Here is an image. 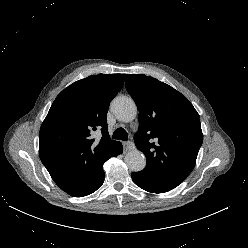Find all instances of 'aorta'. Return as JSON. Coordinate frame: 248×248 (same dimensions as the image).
<instances>
[{
    "instance_id": "aorta-1",
    "label": "aorta",
    "mask_w": 248,
    "mask_h": 248,
    "mask_svg": "<svg viewBox=\"0 0 248 248\" xmlns=\"http://www.w3.org/2000/svg\"><path fill=\"white\" fill-rule=\"evenodd\" d=\"M112 109L119 121L131 122L137 116V106L129 97H118L112 103ZM125 163L131 171L138 172L145 168V155L138 149H133L125 155Z\"/></svg>"
}]
</instances>
